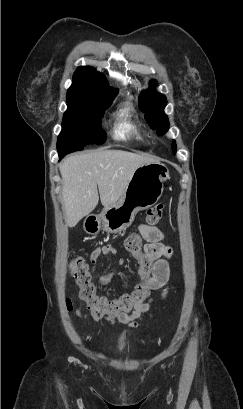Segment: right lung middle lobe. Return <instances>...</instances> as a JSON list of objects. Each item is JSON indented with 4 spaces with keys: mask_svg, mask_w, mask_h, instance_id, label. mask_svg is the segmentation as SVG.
<instances>
[{
    "mask_svg": "<svg viewBox=\"0 0 243 409\" xmlns=\"http://www.w3.org/2000/svg\"><path fill=\"white\" fill-rule=\"evenodd\" d=\"M114 97L94 101L67 100L68 109L57 142L59 155L82 150L87 144L104 143L106 134L101 129V118Z\"/></svg>",
    "mask_w": 243,
    "mask_h": 409,
    "instance_id": "obj_1",
    "label": "right lung middle lobe"
}]
</instances>
